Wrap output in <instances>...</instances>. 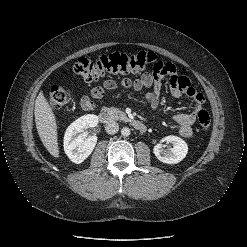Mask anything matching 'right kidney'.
Returning a JSON list of instances; mask_svg holds the SVG:
<instances>
[{
  "label": "right kidney",
  "instance_id": "right-kidney-1",
  "mask_svg": "<svg viewBox=\"0 0 247 247\" xmlns=\"http://www.w3.org/2000/svg\"><path fill=\"white\" fill-rule=\"evenodd\" d=\"M98 117L93 114L84 115L66 129L64 135V151L68 158L75 164L82 163L94 150L97 143V136L85 138L81 132L87 127H96Z\"/></svg>",
  "mask_w": 247,
  "mask_h": 247
}]
</instances>
